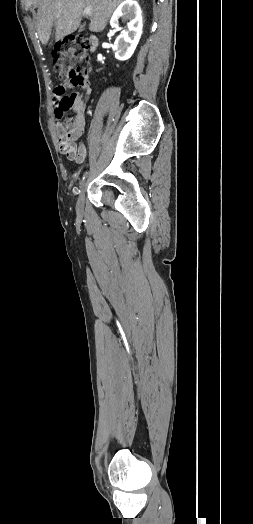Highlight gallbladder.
<instances>
[{
  "instance_id": "gallbladder-1",
  "label": "gallbladder",
  "mask_w": 253,
  "mask_h": 524,
  "mask_svg": "<svg viewBox=\"0 0 253 524\" xmlns=\"http://www.w3.org/2000/svg\"><path fill=\"white\" fill-rule=\"evenodd\" d=\"M83 28H84V26L82 25V26L80 27V30H82Z\"/></svg>"
}]
</instances>
